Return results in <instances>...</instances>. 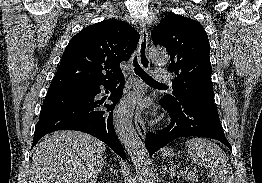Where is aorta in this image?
Wrapping results in <instances>:
<instances>
[{"instance_id": "1", "label": "aorta", "mask_w": 262, "mask_h": 183, "mask_svg": "<svg viewBox=\"0 0 262 183\" xmlns=\"http://www.w3.org/2000/svg\"><path fill=\"white\" fill-rule=\"evenodd\" d=\"M149 56L152 62L159 66L165 65L169 60L166 50L158 47H152ZM138 97L137 93H131L121 99L115 112L114 124L121 142L133 161L139 182L150 183L152 163L132 123Z\"/></svg>"}]
</instances>
